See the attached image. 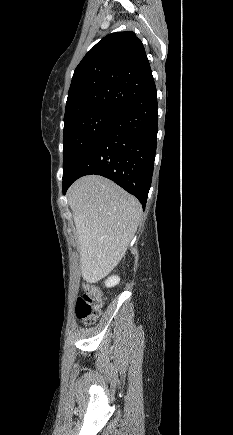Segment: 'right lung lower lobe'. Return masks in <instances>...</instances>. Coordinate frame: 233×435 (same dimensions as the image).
Segmentation results:
<instances>
[{"instance_id":"obj_1","label":"right lung lower lobe","mask_w":233,"mask_h":435,"mask_svg":"<svg viewBox=\"0 0 233 435\" xmlns=\"http://www.w3.org/2000/svg\"><path fill=\"white\" fill-rule=\"evenodd\" d=\"M158 112L153 83L124 108L63 178V193L88 174L107 177L136 196L145 208L156 153Z\"/></svg>"}]
</instances>
